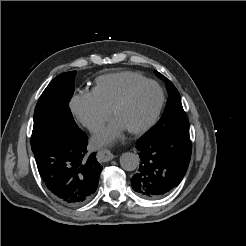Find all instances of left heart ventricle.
Listing matches in <instances>:
<instances>
[{
    "label": "left heart ventricle",
    "instance_id": "obj_1",
    "mask_svg": "<svg viewBox=\"0 0 246 246\" xmlns=\"http://www.w3.org/2000/svg\"><path fill=\"white\" fill-rule=\"evenodd\" d=\"M159 100V92L153 85L139 89L116 115L125 129L137 128L152 116Z\"/></svg>",
    "mask_w": 246,
    "mask_h": 246
}]
</instances>
